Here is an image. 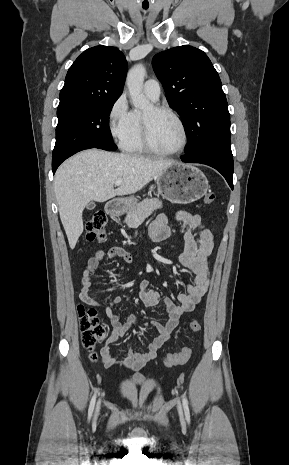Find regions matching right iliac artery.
<instances>
[{"mask_svg":"<svg viewBox=\"0 0 289 465\" xmlns=\"http://www.w3.org/2000/svg\"><path fill=\"white\" fill-rule=\"evenodd\" d=\"M96 392L97 391H95V394L93 395V397L91 399V402H90L89 411H88V418L89 419L91 418L93 410H94V406H95V402H96Z\"/></svg>","mask_w":289,"mask_h":465,"instance_id":"right-iliac-artery-1","label":"right iliac artery"}]
</instances>
